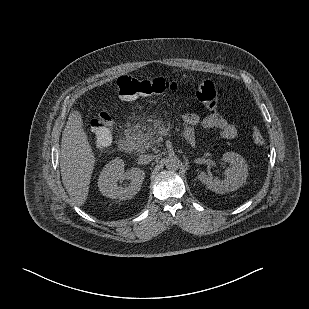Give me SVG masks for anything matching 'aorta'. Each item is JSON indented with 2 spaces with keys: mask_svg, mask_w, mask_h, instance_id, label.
<instances>
[{
  "mask_svg": "<svg viewBox=\"0 0 309 309\" xmlns=\"http://www.w3.org/2000/svg\"><path fill=\"white\" fill-rule=\"evenodd\" d=\"M164 164H165V166L168 170L176 171L180 168L181 161L176 156H169V157L165 158Z\"/></svg>",
  "mask_w": 309,
  "mask_h": 309,
  "instance_id": "aorta-1",
  "label": "aorta"
}]
</instances>
